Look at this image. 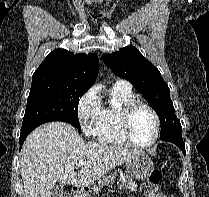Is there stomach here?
Segmentation results:
<instances>
[{
	"mask_svg": "<svg viewBox=\"0 0 209 197\" xmlns=\"http://www.w3.org/2000/svg\"><path fill=\"white\" fill-rule=\"evenodd\" d=\"M126 170L130 177L137 180H146L153 172L154 165L148 155L140 152L127 160Z\"/></svg>",
	"mask_w": 209,
	"mask_h": 197,
	"instance_id": "0dacf381",
	"label": "stomach"
}]
</instances>
